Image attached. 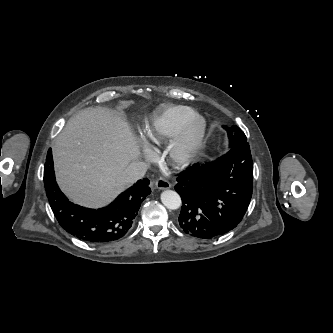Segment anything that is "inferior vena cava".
I'll return each mask as SVG.
<instances>
[{
	"mask_svg": "<svg viewBox=\"0 0 333 333\" xmlns=\"http://www.w3.org/2000/svg\"><path fill=\"white\" fill-rule=\"evenodd\" d=\"M147 169L146 163L134 161L123 171L121 180L125 184L134 183L145 175Z\"/></svg>",
	"mask_w": 333,
	"mask_h": 333,
	"instance_id": "1",
	"label": "inferior vena cava"
}]
</instances>
